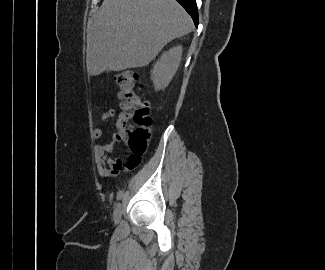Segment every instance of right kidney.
<instances>
[{
    "label": "right kidney",
    "instance_id": "ca27d5eb",
    "mask_svg": "<svg viewBox=\"0 0 325 270\" xmlns=\"http://www.w3.org/2000/svg\"><path fill=\"white\" fill-rule=\"evenodd\" d=\"M182 55V47L177 46L164 53L155 64L151 78L156 90L164 89L175 75Z\"/></svg>",
    "mask_w": 325,
    "mask_h": 270
}]
</instances>
